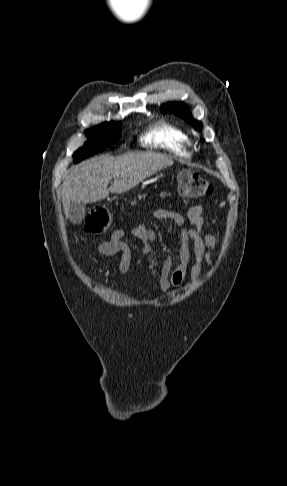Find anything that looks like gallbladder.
<instances>
[{
	"label": "gallbladder",
	"mask_w": 287,
	"mask_h": 486,
	"mask_svg": "<svg viewBox=\"0 0 287 486\" xmlns=\"http://www.w3.org/2000/svg\"><path fill=\"white\" fill-rule=\"evenodd\" d=\"M85 204L72 202L69 208L70 221L79 224L85 218Z\"/></svg>",
	"instance_id": "obj_1"
}]
</instances>
